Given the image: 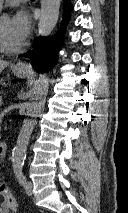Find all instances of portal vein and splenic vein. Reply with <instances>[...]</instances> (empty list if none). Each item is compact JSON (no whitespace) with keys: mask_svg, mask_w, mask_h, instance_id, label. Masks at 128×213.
Segmentation results:
<instances>
[{"mask_svg":"<svg viewBox=\"0 0 128 213\" xmlns=\"http://www.w3.org/2000/svg\"><path fill=\"white\" fill-rule=\"evenodd\" d=\"M3 105V101L2 100H0V106H2Z\"/></svg>","mask_w":128,"mask_h":213,"instance_id":"18ae733b","label":"portal vein and splenic vein"}]
</instances>
